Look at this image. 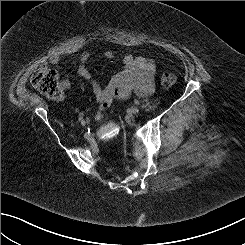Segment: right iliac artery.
<instances>
[{
    "label": "right iliac artery",
    "instance_id": "82829eb1",
    "mask_svg": "<svg viewBox=\"0 0 245 245\" xmlns=\"http://www.w3.org/2000/svg\"><path fill=\"white\" fill-rule=\"evenodd\" d=\"M83 117H84V114L83 113H80L79 114V121H82L83 120Z\"/></svg>",
    "mask_w": 245,
    "mask_h": 245
}]
</instances>
